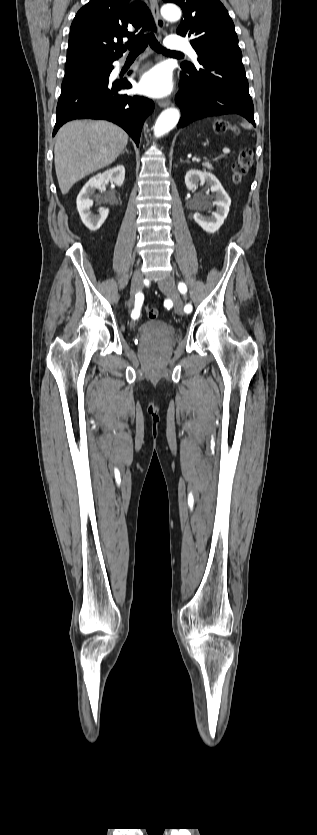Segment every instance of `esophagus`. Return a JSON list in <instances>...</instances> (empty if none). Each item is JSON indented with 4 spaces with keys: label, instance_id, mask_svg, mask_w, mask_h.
<instances>
[{
    "label": "esophagus",
    "instance_id": "obj_1",
    "mask_svg": "<svg viewBox=\"0 0 317 835\" xmlns=\"http://www.w3.org/2000/svg\"><path fill=\"white\" fill-rule=\"evenodd\" d=\"M149 2L157 27L159 28V30H162L165 27V21L162 19L159 13L158 0H149ZM170 105L171 101L169 99L159 101V106L162 108L169 107Z\"/></svg>",
    "mask_w": 317,
    "mask_h": 835
}]
</instances>
